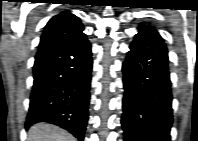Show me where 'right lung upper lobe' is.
Here are the masks:
<instances>
[{"label":"right lung upper lobe","mask_w":198,"mask_h":141,"mask_svg":"<svg viewBox=\"0 0 198 141\" xmlns=\"http://www.w3.org/2000/svg\"><path fill=\"white\" fill-rule=\"evenodd\" d=\"M83 31V24L77 16L68 11L50 19L41 36L39 50L63 43Z\"/></svg>","instance_id":"obj_1"}]
</instances>
